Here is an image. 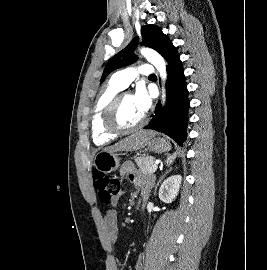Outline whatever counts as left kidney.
<instances>
[{
  "label": "left kidney",
  "mask_w": 267,
  "mask_h": 270,
  "mask_svg": "<svg viewBox=\"0 0 267 270\" xmlns=\"http://www.w3.org/2000/svg\"><path fill=\"white\" fill-rule=\"evenodd\" d=\"M182 181L181 175H172L168 177L159 189V198L165 203H171L178 195L180 184Z\"/></svg>",
  "instance_id": "left-kidney-1"
}]
</instances>
